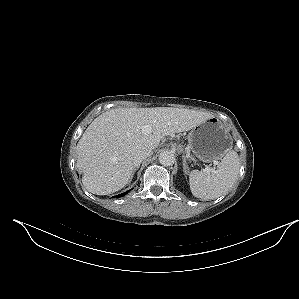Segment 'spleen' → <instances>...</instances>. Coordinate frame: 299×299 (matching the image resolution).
I'll return each instance as SVG.
<instances>
[{
    "label": "spleen",
    "mask_w": 299,
    "mask_h": 299,
    "mask_svg": "<svg viewBox=\"0 0 299 299\" xmlns=\"http://www.w3.org/2000/svg\"><path fill=\"white\" fill-rule=\"evenodd\" d=\"M239 157L234 150L226 153L217 169L210 172L193 170L189 174L192 194L203 200L218 198L236 182L239 174Z\"/></svg>",
    "instance_id": "spleen-1"
}]
</instances>
